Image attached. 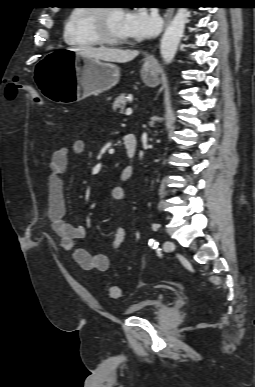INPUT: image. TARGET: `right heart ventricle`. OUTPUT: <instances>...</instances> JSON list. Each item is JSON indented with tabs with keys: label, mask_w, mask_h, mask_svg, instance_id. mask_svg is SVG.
<instances>
[{
	"label": "right heart ventricle",
	"mask_w": 255,
	"mask_h": 387,
	"mask_svg": "<svg viewBox=\"0 0 255 387\" xmlns=\"http://www.w3.org/2000/svg\"><path fill=\"white\" fill-rule=\"evenodd\" d=\"M94 10L95 8L91 6H76L70 11L63 29L66 44L81 49L102 44L93 30Z\"/></svg>",
	"instance_id": "1"
}]
</instances>
